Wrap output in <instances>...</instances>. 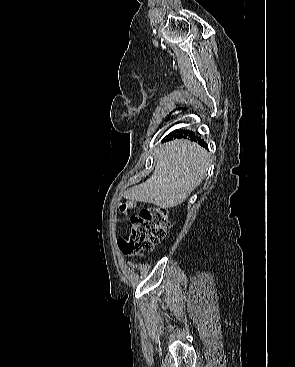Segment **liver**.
<instances>
[{
    "instance_id": "liver-1",
    "label": "liver",
    "mask_w": 295,
    "mask_h": 367,
    "mask_svg": "<svg viewBox=\"0 0 295 367\" xmlns=\"http://www.w3.org/2000/svg\"><path fill=\"white\" fill-rule=\"evenodd\" d=\"M209 158V153L194 142H167L156 150L153 175L130 188L126 198L161 208L177 206L201 184Z\"/></svg>"
}]
</instances>
